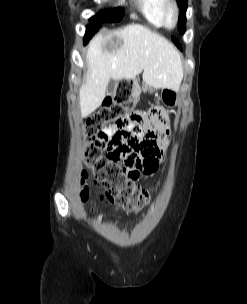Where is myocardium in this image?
Returning a JSON list of instances; mask_svg holds the SVG:
<instances>
[{
	"instance_id": "obj_1",
	"label": "myocardium",
	"mask_w": 247,
	"mask_h": 304,
	"mask_svg": "<svg viewBox=\"0 0 247 304\" xmlns=\"http://www.w3.org/2000/svg\"><path fill=\"white\" fill-rule=\"evenodd\" d=\"M163 22L164 26L168 29H173L177 26L179 21V7L175 0H165L163 6ZM170 15L173 16V22H169Z\"/></svg>"
}]
</instances>
